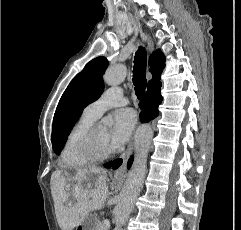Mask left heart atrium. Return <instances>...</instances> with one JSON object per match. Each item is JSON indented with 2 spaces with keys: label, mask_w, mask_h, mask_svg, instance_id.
<instances>
[{
  "label": "left heart atrium",
  "mask_w": 241,
  "mask_h": 230,
  "mask_svg": "<svg viewBox=\"0 0 241 230\" xmlns=\"http://www.w3.org/2000/svg\"><path fill=\"white\" fill-rule=\"evenodd\" d=\"M113 126L108 134V144L112 149L119 148L130 139L136 125V115L129 108L119 109L114 113Z\"/></svg>",
  "instance_id": "obj_1"
}]
</instances>
